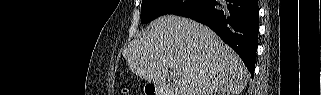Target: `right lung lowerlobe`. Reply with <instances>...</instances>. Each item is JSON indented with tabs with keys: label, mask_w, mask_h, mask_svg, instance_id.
<instances>
[{
	"label": "right lung lower lobe",
	"mask_w": 321,
	"mask_h": 95,
	"mask_svg": "<svg viewBox=\"0 0 321 95\" xmlns=\"http://www.w3.org/2000/svg\"><path fill=\"white\" fill-rule=\"evenodd\" d=\"M258 15V0H207L197 13L186 17L209 26L241 57L253 76Z\"/></svg>",
	"instance_id": "right-lung-lower-lobe-1"
}]
</instances>
